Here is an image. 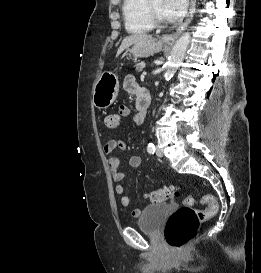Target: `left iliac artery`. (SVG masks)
I'll return each mask as SVG.
<instances>
[{
	"label": "left iliac artery",
	"mask_w": 261,
	"mask_h": 273,
	"mask_svg": "<svg viewBox=\"0 0 261 273\" xmlns=\"http://www.w3.org/2000/svg\"><path fill=\"white\" fill-rule=\"evenodd\" d=\"M147 151H148V153H150V154H154V152H155V146H154L153 143H149V144H148Z\"/></svg>",
	"instance_id": "obj_1"
}]
</instances>
